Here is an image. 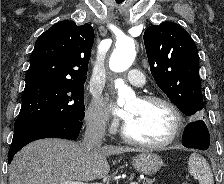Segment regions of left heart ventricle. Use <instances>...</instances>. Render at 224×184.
Instances as JSON below:
<instances>
[{"mask_svg":"<svg viewBox=\"0 0 224 184\" xmlns=\"http://www.w3.org/2000/svg\"><path fill=\"white\" fill-rule=\"evenodd\" d=\"M129 134L139 140L157 143L165 140L173 127L171 111L160 103H145L139 99L129 101L126 108Z\"/></svg>","mask_w":224,"mask_h":184,"instance_id":"left-heart-ventricle-1","label":"left heart ventricle"}]
</instances>
